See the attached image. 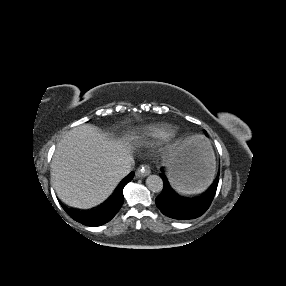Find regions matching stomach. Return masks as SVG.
I'll return each mask as SVG.
<instances>
[{"instance_id": "obj_1", "label": "stomach", "mask_w": 286, "mask_h": 286, "mask_svg": "<svg viewBox=\"0 0 286 286\" xmlns=\"http://www.w3.org/2000/svg\"><path fill=\"white\" fill-rule=\"evenodd\" d=\"M169 176L175 185L186 188L206 186L215 172V158L209 143L194 136L181 143L167 157Z\"/></svg>"}]
</instances>
